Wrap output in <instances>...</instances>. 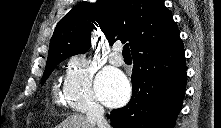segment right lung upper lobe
Here are the masks:
<instances>
[{"label": "right lung upper lobe", "mask_w": 221, "mask_h": 128, "mask_svg": "<svg viewBox=\"0 0 221 128\" xmlns=\"http://www.w3.org/2000/svg\"><path fill=\"white\" fill-rule=\"evenodd\" d=\"M94 25L100 27L109 43L125 37L132 54L165 47L179 37L178 27L163 0L81 2L57 24L46 65L88 51Z\"/></svg>", "instance_id": "right-lung-upper-lobe-1"}]
</instances>
